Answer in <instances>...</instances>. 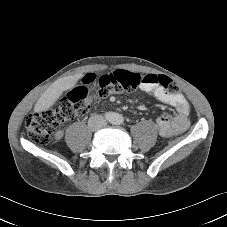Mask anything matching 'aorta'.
<instances>
[{
	"label": "aorta",
	"mask_w": 227,
	"mask_h": 227,
	"mask_svg": "<svg viewBox=\"0 0 227 227\" xmlns=\"http://www.w3.org/2000/svg\"><path fill=\"white\" fill-rule=\"evenodd\" d=\"M124 121L123 116L119 113H113L111 117L112 124H122Z\"/></svg>",
	"instance_id": "obj_1"
}]
</instances>
